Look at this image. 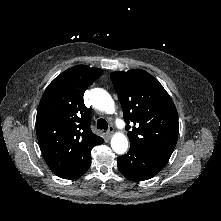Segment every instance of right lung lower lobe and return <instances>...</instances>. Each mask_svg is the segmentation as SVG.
I'll return each instance as SVG.
<instances>
[{"label": "right lung lower lobe", "instance_id": "obj_1", "mask_svg": "<svg viewBox=\"0 0 221 221\" xmlns=\"http://www.w3.org/2000/svg\"><path fill=\"white\" fill-rule=\"evenodd\" d=\"M90 165H91V157L87 158L79 165H76V166L70 168L69 170H67L66 172H64L63 174H60L58 176L63 179L78 178V177L82 176L89 169Z\"/></svg>", "mask_w": 221, "mask_h": 221}]
</instances>
